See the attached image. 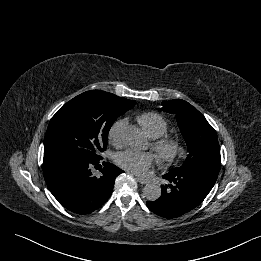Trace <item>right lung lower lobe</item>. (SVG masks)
<instances>
[{
  "mask_svg": "<svg viewBox=\"0 0 261 261\" xmlns=\"http://www.w3.org/2000/svg\"><path fill=\"white\" fill-rule=\"evenodd\" d=\"M101 156H62L43 161L46 184L58 200L69 211L89 214L103 205L110 197L116 177L123 170L103 162ZM93 167H100L102 175L95 177Z\"/></svg>",
  "mask_w": 261,
  "mask_h": 261,
  "instance_id": "1",
  "label": "right lung lower lobe"
}]
</instances>
